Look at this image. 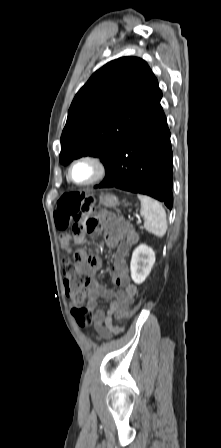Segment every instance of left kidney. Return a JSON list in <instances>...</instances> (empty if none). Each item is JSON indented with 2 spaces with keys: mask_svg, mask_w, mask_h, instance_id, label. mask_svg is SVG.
Returning <instances> with one entry per match:
<instances>
[{
  "mask_svg": "<svg viewBox=\"0 0 221 448\" xmlns=\"http://www.w3.org/2000/svg\"><path fill=\"white\" fill-rule=\"evenodd\" d=\"M155 263V253L145 244L139 245L132 254L130 270L132 280L141 284L150 274Z\"/></svg>",
  "mask_w": 221,
  "mask_h": 448,
  "instance_id": "obj_1",
  "label": "left kidney"
}]
</instances>
